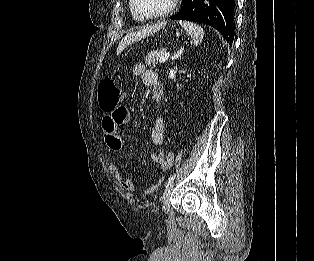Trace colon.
Returning a JSON list of instances; mask_svg holds the SVG:
<instances>
[{
    "label": "colon",
    "instance_id": "obj_1",
    "mask_svg": "<svg viewBox=\"0 0 314 261\" xmlns=\"http://www.w3.org/2000/svg\"><path fill=\"white\" fill-rule=\"evenodd\" d=\"M122 91L113 80L105 79L98 87V104L101 111L110 114V109H119L122 101ZM166 167L173 166V157L168 155L164 160Z\"/></svg>",
    "mask_w": 314,
    "mask_h": 261
}]
</instances>
